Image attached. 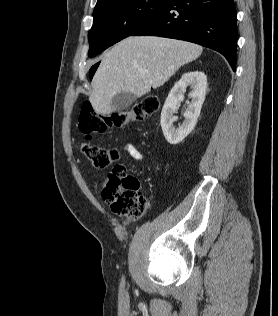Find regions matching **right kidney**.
<instances>
[{
    "label": "right kidney",
    "mask_w": 278,
    "mask_h": 316,
    "mask_svg": "<svg viewBox=\"0 0 278 316\" xmlns=\"http://www.w3.org/2000/svg\"><path fill=\"white\" fill-rule=\"evenodd\" d=\"M190 86L191 102L184 113V122L176 128L173 123L177 120L174 113L177 104L184 99V92ZM207 88V77L201 71L184 73L181 79L171 89L161 112V127L168 143L176 145L194 129L200 115L201 107L205 99Z\"/></svg>",
    "instance_id": "1"
}]
</instances>
